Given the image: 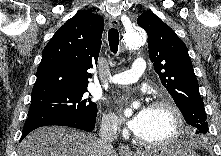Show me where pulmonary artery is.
Here are the masks:
<instances>
[{"mask_svg": "<svg viewBox=\"0 0 221 156\" xmlns=\"http://www.w3.org/2000/svg\"><path fill=\"white\" fill-rule=\"evenodd\" d=\"M146 64L143 58L134 60L130 70L114 74L109 82L112 84H132L135 83L145 72Z\"/></svg>", "mask_w": 221, "mask_h": 156, "instance_id": "1", "label": "pulmonary artery"}]
</instances>
